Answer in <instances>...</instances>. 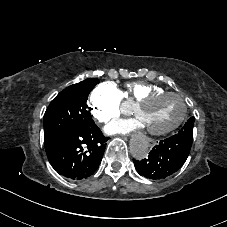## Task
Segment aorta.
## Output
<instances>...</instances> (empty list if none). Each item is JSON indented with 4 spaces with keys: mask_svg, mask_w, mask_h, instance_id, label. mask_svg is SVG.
Here are the masks:
<instances>
[{
    "mask_svg": "<svg viewBox=\"0 0 227 227\" xmlns=\"http://www.w3.org/2000/svg\"><path fill=\"white\" fill-rule=\"evenodd\" d=\"M149 143L145 138H137L131 142L130 152L136 160H142L147 157Z\"/></svg>",
    "mask_w": 227,
    "mask_h": 227,
    "instance_id": "762f6f07",
    "label": "aorta"
}]
</instances>
